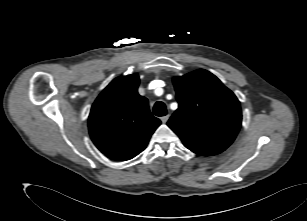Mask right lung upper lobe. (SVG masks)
<instances>
[{
    "mask_svg": "<svg viewBox=\"0 0 307 221\" xmlns=\"http://www.w3.org/2000/svg\"><path fill=\"white\" fill-rule=\"evenodd\" d=\"M138 85L136 73L115 78L91 108V139L112 160L126 161L138 155L161 124L151 114L148 100L138 94Z\"/></svg>",
    "mask_w": 307,
    "mask_h": 221,
    "instance_id": "obj_1",
    "label": "right lung upper lobe"
}]
</instances>
